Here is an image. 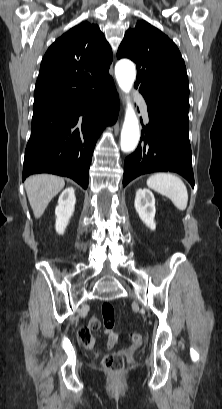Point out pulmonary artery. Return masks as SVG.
<instances>
[{"instance_id":"e3ab8cb5","label":"pulmonary artery","mask_w":222,"mask_h":409,"mask_svg":"<svg viewBox=\"0 0 222 409\" xmlns=\"http://www.w3.org/2000/svg\"><path fill=\"white\" fill-rule=\"evenodd\" d=\"M136 99H137V102H138V104H139V106H140V108L142 110L144 118L147 119L148 118L147 105H146V102H145L144 98L141 95L138 94V95H136Z\"/></svg>"}]
</instances>
